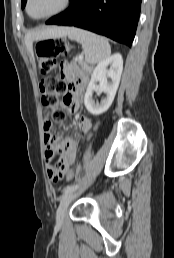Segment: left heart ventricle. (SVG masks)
Returning <instances> with one entry per match:
<instances>
[{"label": "left heart ventricle", "mask_w": 174, "mask_h": 258, "mask_svg": "<svg viewBox=\"0 0 174 258\" xmlns=\"http://www.w3.org/2000/svg\"><path fill=\"white\" fill-rule=\"evenodd\" d=\"M62 0H32L29 11L34 17H38L54 11L61 5Z\"/></svg>", "instance_id": "obj_1"}]
</instances>
